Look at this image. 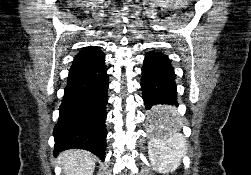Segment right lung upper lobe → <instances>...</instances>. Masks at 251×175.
I'll return each mask as SVG.
<instances>
[{
    "label": "right lung upper lobe",
    "instance_id": "cb5924a9",
    "mask_svg": "<svg viewBox=\"0 0 251 175\" xmlns=\"http://www.w3.org/2000/svg\"><path fill=\"white\" fill-rule=\"evenodd\" d=\"M102 56H104V53L100 50L99 47L90 46L79 51V53L75 56L73 64L91 62L93 60L101 58Z\"/></svg>",
    "mask_w": 251,
    "mask_h": 175
}]
</instances>
